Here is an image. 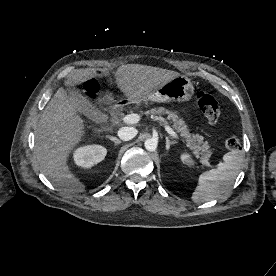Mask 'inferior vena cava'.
<instances>
[{
    "mask_svg": "<svg viewBox=\"0 0 276 276\" xmlns=\"http://www.w3.org/2000/svg\"><path fill=\"white\" fill-rule=\"evenodd\" d=\"M137 135V129L133 127H122L118 131V137L123 141H129Z\"/></svg>",
    "mask_w": 276,
    "mask_h": 276,
    "instance_id": "inferior-vena-cava-1",
    "label": "inferior vena cava"
}]
</instances>
